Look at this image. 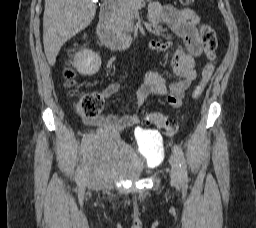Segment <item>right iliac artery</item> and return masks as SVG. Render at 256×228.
I'll list each match as a JSON object with an SVG mask.
<instances>
[{"label":"right iliac artery","instance_id":"right-iliac-artery-1","mask_svg":"<svg viewBox=\"0 0 256 228\" xmlns=\"http://www.w3.org/2000/svg\"><path fill=\"white\" fill-rule=\"evenodd\" d=\"M87 140H88L87 136H84L83 139L80 140V143L83 144L81 153H83L86 150L85 144L87 143ZM81 173H82V171L79 166L76 170V178H75L78 183L81 182Z\"/></svg>","mask_w":256,"mask_h":228}]
</instances>
